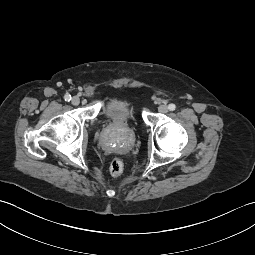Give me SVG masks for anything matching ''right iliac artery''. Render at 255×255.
Returning a JSON list of instances; mask_svg holds the SVG:
<instances>
[{
    "label": "right iliac artery",
    "mask_w": 255,
    "mask_h": 255,
    "mask_svg": "<svg viewBox=\"0 0 255 255\" xmlns=\"http://www.w3.org/2000/svg\"><path fill=\"white\" fill-rule=\"evenodd\" d=\"M64 99H65V101H70L71 100V95H69V94H66L65 96H64Z\"/></svg>",
    "instance_id": "1"
}]
</instances>
